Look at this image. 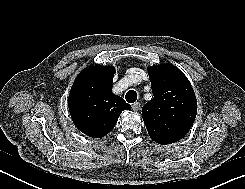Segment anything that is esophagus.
Here are the masks:
<instances>
[{"instance_id": "34e87169", "label": "esophagus", "mask_w": 245, "mask_h": 189, "mask_svg": "<svg viewBox=\"0 0 245 189\" xmlns=\"http://www.w3.org/2000/svg\"><path fill=\"white\" fill-rule=\"evenodd\" d=\"M132 109H133V111H138L140 109V103L139 102L133 103Z\"/></svg>"}]
</instances>
